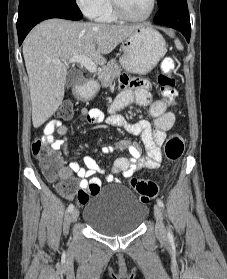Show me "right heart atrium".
Masks as SVG:
<instances>
[{
  "instance_id": "right-heart-atrium-1",
  "label": "right heart atrium",
  "mask_w": 227,
  "mask_h": 279,
  "mask_svg": "<svg viewBox=\"0 0 227 279\" xmlns=\"http://www.w3.org/2000/svg\"><path fill=\"white\" fill-rule=\"evenodd\" d=\"M79 8L89 17H97L108 5L109 0H75Z\"/></svg>"
}]
</instances>
